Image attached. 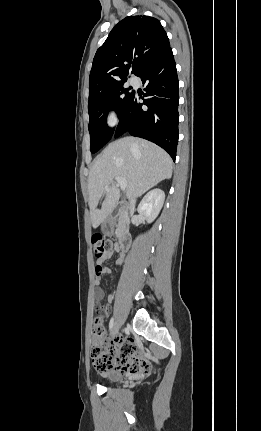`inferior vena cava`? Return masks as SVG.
Returning <instances> with one entry per match:
<instances>
[{
    "mask_svg": "<svg viewBox=\"0 0 261 431\" xmlns=\"http://www.w3.org/2000/svg\"><path fill=\"white\" fill-rule=\"evenodd\" d=\"M135 198L136 197H133V198L130 199L129 208H130V214L131 215L134 213V210H135V204H136V199Z\"/></svg>",
    "mask_w": 261,
    "mask_h": 431,
    "instance_id": "obj_1",
    "label": "inferior vena cava"
}]
</instances>
